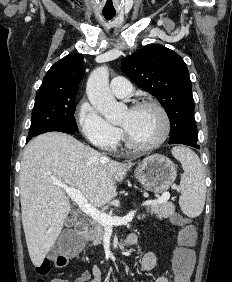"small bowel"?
<instances>
[{"label":"small bowel","mask_w":232,"mask_h":282,"mask_svg":"<svg viewBox=\"0 0 232 282\" xmlns=\"http://www.w3.org/2000/svg\"><path fill=\"white\" fill-rule=\"evenodd\" d=\"M132 241V244H135L138 241L136 234H131L128 236ZM157 258L154 252H146L142 259L140 268L143 272H149L156 266ZM51 282H69L63 278H55ZM74 282H102V269L99 265H94L91 269L85 270L81 273L79 277L75 279ZM154 282H169V279L165 274L159 275Z\"/></svg>","instance_id":"c3829d8e"}]
</instances>
